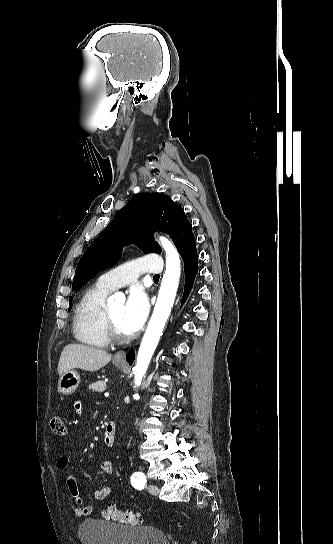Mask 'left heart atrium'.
I'll list each match as a JSON object with an SVG mask.
<instances>
[{"instance_id": "obj_1", "label": "left heart atrium", "mask_w": 333, "mask_h": 544, "mask_svg": "<svg viewBox=\"0 0 333 544\" xmlns=\"http://www.w3.org/2000/svg\"><path fill=\"white\" fill-rule=\"evenodd\" d=\"M149 312V302L141 288L133 289L124 305L121 324L127 333H135L144 325Z\"/></svg>"}]
</instances>
